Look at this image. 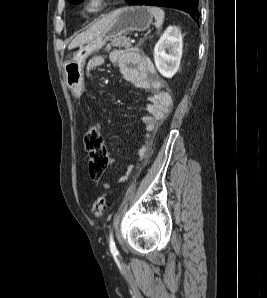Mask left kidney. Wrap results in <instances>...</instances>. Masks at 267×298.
I'll return each instance as SVG.
<instances>
[{
	"mask_svg": "<svg viewBox=\"0 0 267 298\" xmlns=\"http://www.w3.org/2000/svg\"><path fill=\"white\" fill-rule=\"evenodd\" d=\"M182 48L180 29L169 26L154 47V61L161 75L166 78H172L175 75L180 66Z\"/></svg>",
	"mask_w": 267,
	"mask_h": 298,
	"instance_id": "obj_1",
	"label": "left kidney"
}]
</instances>
